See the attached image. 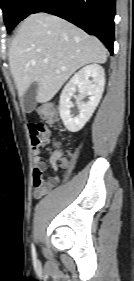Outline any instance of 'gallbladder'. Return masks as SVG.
<instances>
[{"instance_id":"gallbladder-1","label":"gallbladder","mask_w":134,"mask_h":281,"mask_svg":"<svg viewBox=\"0 0 134 281\" xmlns=\"http://www.w3.org/2000/svg\"><path fill=\"white\" fill-rule=\"evenodd\" d=\"M37 89V83L32 82L24 94L23 107L26 112H31L34 107Z\"/></svg>"}]
</instances>
